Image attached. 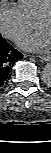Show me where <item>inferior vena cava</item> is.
I'll use <instances>...</instances> for the list:
<instances>
[{
	"label": "inferior vena cava",
	"instance_id": "inferior-vena-cava-1",
	"mask_svg": "<svg viewBox=\"0 0 51 153\" xmlns=\"http://www.w3.org/2000/svg\"><path fill=\"white\" fill-rule=\"evenodd\" d=\"M7 37L13 39L15 37V32H10Z\"/></svg>",
	"mask_w": 51,
	"mask_h": 153
}]
</instances>
